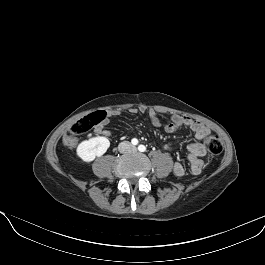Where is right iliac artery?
I'll use <instances>...</instances> for the list:
<instances>
[{
  "label": "right iliac artery",
  "instance_id": "right-iliac-artery-1",
  "mask_svg": "<svg viewBox=\"0 0 265 265\" xmlns=\"http://www.w3.org/2000/svg\"><path fill=\"white\" fill-rule=\"evenodd\" d=\"M131 142H132L133 145H137L138 144V140L136 138H133Z\"/></svg>",
  "mask_w": 265,
  "mask_h": 265
}]
</instances>
